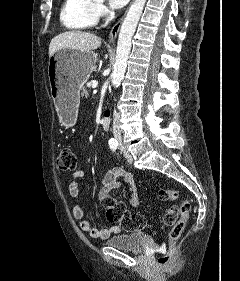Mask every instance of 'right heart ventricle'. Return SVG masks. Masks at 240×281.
<instances>
[{
  "label": "right heart ventricle",
  "instance_id": "1",
  "mask_svg": "<svg viewBox=\"0 0 240 281\" xmlns=\"http://www.w3.org/2000/svg\"><path fill=\"white\" fill-rule=\"evenodd\" d=\"M97 8L94 0H64L60 9V22L70 31L92 28L98 18Z\"/></svg>",
  "mask_w": 240,
  "mask_h": 281
}]
</instances>
